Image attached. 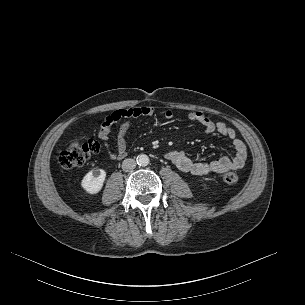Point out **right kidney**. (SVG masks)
I'll use <instances>...</instances> for the list:
<instances>
[{
  "instance_id": "ca27d5eb",
  "label": "right kidney",
  "mask_w": 305,
  "mask_h": 305,
  "mask_svg": "<svg viewBox=\"0 0 305 305\" xmlns=\"http://www.w3.org/2000/svg\"><path fill=\"white\" fill-rule=\"evenodd\" d=\"M106 178V172L103 169L93 168L82 179L81 186L89 194L98 193Z\"/></svg>"
}]
</instances>
